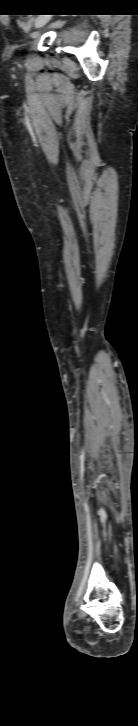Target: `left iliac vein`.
I'll list each match as a JSON object with an SVG mask.
<instances>
[{"label": "left iliac vein", "instance_id": "4c4485c4", "mask_svg": "<svg viewBox=\"0 0 138 726\" xmlns=\"http://www.w3.org/2000/svg\"><path fill=\"white\" fill-rule=\"evenodd\" d=\"M48 21H49V16H45V15L38 16L35 20V27L38 29L42 28L43 26H45L47 24Z\"/></svg>", "mask_w": 138, "mask_h": 726}]
</instances>
